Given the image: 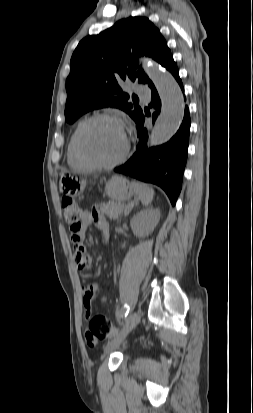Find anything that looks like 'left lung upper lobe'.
<instances>
[{"label":"left lung upper lobe","mask_w":253,"mask_h":413,"mask_svg":"<svg viewBox=\"0 0 253 413\" xmlns=\"http://www.w3.org/2000/svg\"><path fill=\"white\" fill-rule=\"evenodd\" d=\"M144 54L163 67L172 56L160 31L146 17L121 19L100 34L82 39L66 80V121L73 123L90 110L108 106L124 110L135 121L142 109L128 102L130 97L119 83L130 79L153 84L138 65L137 57Z\"/></svg>","instance_id":"left-lung-upper-lobe-1"}]
</instances>
